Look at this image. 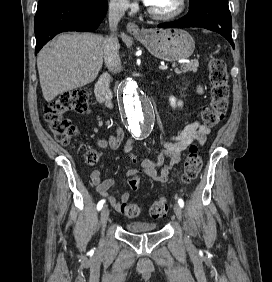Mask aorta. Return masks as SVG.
Here are the masks:
<instances>
[{
	"instance_id": "762f6f07",
	"label": "aorta",
	"mask_w": 272,
	"mask_h": 282,
	"mask_svg": "<svg viewBox=\"0 0 272 282\" xmlns=\"http://www.w3.org/2000/svg\"><path fill=\"white\" fill-rule=\"evenodd\" d=\"M119 96L128 130L138 138L147 136L152 131L155 112L141 85L136 80L128 78L122 83Z\"/></svg>"
}]
</instances>
